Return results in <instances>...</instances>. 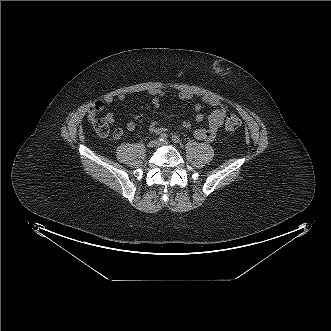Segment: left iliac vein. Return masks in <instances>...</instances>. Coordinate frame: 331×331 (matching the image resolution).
Returning <instances> with one entry per match:
<instances>
[{
    "label": "left iliac vein",
    "instance_id": "4c4485c4",
    "mask_svg": "<svg viewBox=\"0 0 331 331\" xmlns=\"http://www.w3.org/2000/svg\"><path fill=\"white\" fill-rule=\"evenodd\" d=\"M169 141L160 142L159 145H168Z\"/></svg>",
    "mask_w": 331,
    "mask_h": 331
}]
</instances>
